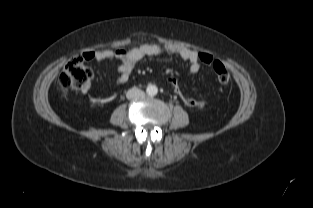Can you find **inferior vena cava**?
Listing matches in <instances>:
<instances>
[{"label": "inferior vena cava", "mask_w": 313, "mask_h": 208, "mask_svg": "<svg viewBox=\"0 0 313 208\" xmlns=\"http://www.w3.org/2000/svg\"><path fill=\"white\" fill-rule=\"evenodd\" d=\"M144 96V92L138 88H131L127 91V99H140Z\"/></svg>", "instance_id": "602c4592"}]
</instances>
